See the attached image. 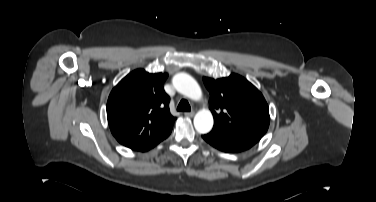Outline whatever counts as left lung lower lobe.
I'll use <instances>...</instances> for the list:
<instances>
[{
	"instance_id": "left-lung-lower-lobe-1",
	"label": "left lung lower lobe",
	"mask_w": 376,
	"mask_h": 202,
	"mask_svg": "<svg viewBox=\"0 0 376 202\" xmlns=\"http://www.w3.org/2000/svg\"><path fill=\"white\" fill-rule=\"evenodd\" d=\"M202 137L213 147L230 153L247 150L258 142L218 127H213L208 134Z\"/></svg>"
}]
</instances>
